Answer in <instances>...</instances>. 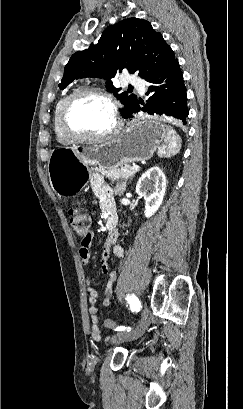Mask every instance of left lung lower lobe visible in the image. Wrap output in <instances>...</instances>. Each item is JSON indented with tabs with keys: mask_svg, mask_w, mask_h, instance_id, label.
<instances>
[{
	"mask_svg": "<svg viewBox=\"0 0 243 409\" xmlns=\"http://www.w3.org/2000/svg\"><path fill=\"white\" fill-rule=\"evenodd\" d=\"M150 83L147 95H150L147 104L137 100L134 106L123 116L133 118L139 111L147 112L152 116H171L182 120L186 125L188 116L186 88L178 60L148 78Z\"/></svg>",
	"mask_w": 243,
	"mask_h": 409,
	"instance_id": "1",
	"label": "left lung lower lobe"
}]
</instances>
